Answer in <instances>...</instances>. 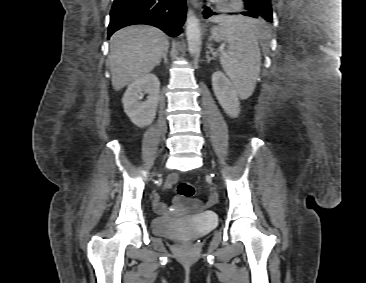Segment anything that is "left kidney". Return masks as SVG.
I'll return each instance as SVG.
<instances>
[{"instance_id":"5707ae66","label":"left kidney","mask_w":366,"mask_h":283,"mask_svg":"<svg viewBox=\"0 0 366 283\" xmlns=\"http://www.w3.org/2000/svg\"><path fill=\"white\" fill-rule=\"evenodd\" d=\"M214 94L225 113L235 118L240 112L238 93L230 80L221 72L212 75Z\"/></svg>"}]
</instances>
